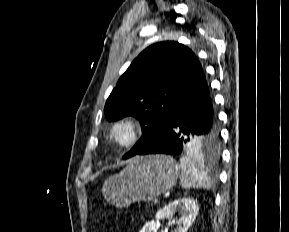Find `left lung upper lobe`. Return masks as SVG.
I'll list each match as a JSON object with an SVG mask.
<instances>
[{
    "instance_id": "1",
    "label": "left lung upper lobe",
    "mask_w": 289,
    "mask_h": 232,
    "mask_svg": "<svg viewBox=\"0 0 289 232\" xmlns=\"http://www.w3.org/2000/svg\"><path fill=\"white\" fill-rule=\"evenodd\" d=\"M202 72L194 53L174 41L149 46L131 63L104 108L109 121L132 115L141 123L143 135L124 159L144 149L166 128L177 104ZM193 147L215 153L219 136L211 144L196 142Z\"/></svg>"
}]
</instances>
